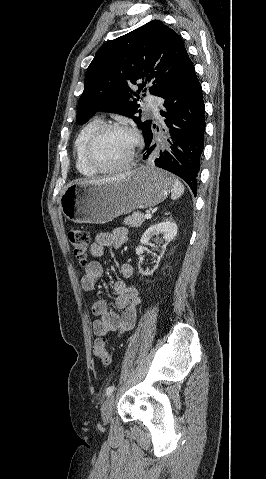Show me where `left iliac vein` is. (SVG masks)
Here are the masks:
<instances>
[{"mask_svg": "<svg viewBox=\"0 0 266 479\" xmlns=\"http://www.w3.org/2000/svg\"><path fill=\"white\" fill-rule=\"evenodd\" d=\"M113 406H114V395H110L104 401L101 408V416L105 424H108L112 419Z\"/></svg>", "mask_w": 266, "mask_h": 479, "instance_id": "obj_1", "label": "left iliac vein"}]
</instances>
